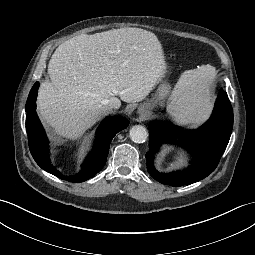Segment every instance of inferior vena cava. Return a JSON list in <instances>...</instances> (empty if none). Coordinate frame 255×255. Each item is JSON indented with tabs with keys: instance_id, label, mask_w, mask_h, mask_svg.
Masks as SVG:
<instances>
[{
	"instance_id": "602c4592",
	"label": "inferior vena cava",
	"mask_w": 255,
	"mask_h": 255,
	"mask_svg": "<svg viewBox=\"0 0 255 255\" xmlns=\"http://www.w3.org/2000/svg\"><path fill=\"white\" fill-rule=\"evenodd\" d=\"M107 106L110 109H118L121 106V101L116 97H112L107 100Z\"/></svg>"
}]
</instances>
